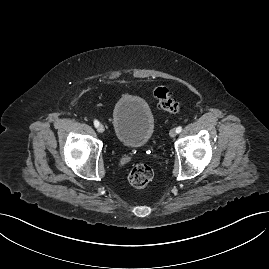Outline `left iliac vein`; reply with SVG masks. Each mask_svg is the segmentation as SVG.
I'll return each instance as SVG.
<instances>
[{
    "label": "left iliac vein",
    "instance_id": "1",
    "mask_svg": "<svg viewBox=\"0 0 269 269\" xmlns=\"http://www.w3.org/2000/svg\"><path fill=\"white\" fill-rule=\"evenodd\" d=\"M176 134H177V132H176L175 129H171L170 132H169V136H170L171 138L175 137Z\"/></svg>",
    "mask_w": 269,
    "mask_h": 269
}]
</instances>
